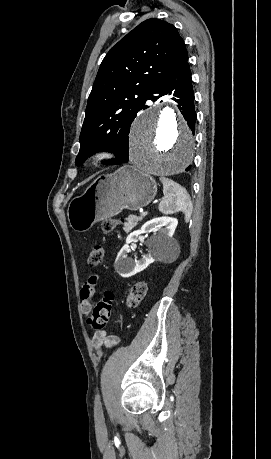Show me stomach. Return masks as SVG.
I'll return each instance as SVG.
<instances>
[{
    "label": "stomach",
    "instance_id": "obj_1",
    "mask_svg": "<svg viewBox=\"0 0 271 459\" xmlns=\"http://www.w3.org/2000/svg\"><path fill=\"white\" fill-rule=\"evenodd\" d=\"M157 194V184L149 174L133 166H123L114 174L99 176L83 196L71 200L68 222L75 231H87L96 222L113 218L124 208L140 210Z\"/></svg>",
    "mask_w": 271,
    "mask_h": 459
}]
</instances>
